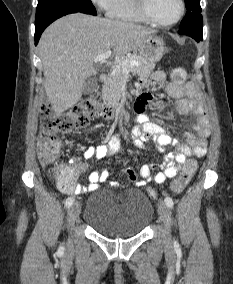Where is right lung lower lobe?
Returning <instances> with one entry per match:
<instances>
[{"mask_svg": "<svg viewBox=\"0 0 233 284\" xmlns=\"http://www.w3.org/2000/svg\"><path fill=\"white\" fill-rule=\"evenodd\" d=\"M62 16H64V15L55 16V17H53V18H50V19H48V20H46V21L41 22L40 24L35 25V29H36V30H35V44L38 43L39 38H40L42 32L44 31V29H45L48 25H50L53 21H55L56 19H58V18H60V17H62Z\"/></svg>", "mask_w": 233, "mask_h": 284, "instance_id": "right-lung-lower-lobe-1", "label": "right lung lower lobe"}]
</instances>
